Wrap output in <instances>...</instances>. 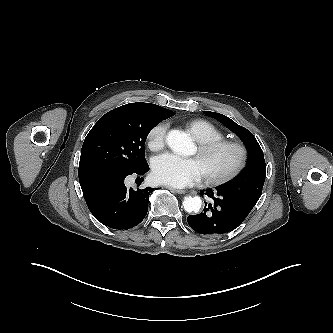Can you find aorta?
I'll use <instances>...</instances> for the list:
<instances>
[{
	"label": "aorta",
	"instance_id": "762f6f07",
	"mask_svg": "<svg viewBox=\"0 0 333 333\" xmlns=\"http://www.w3.org/2000/svg\"><path fill=\"white\" fill-rule=\"evenodd\" d=\"M168 146L177 154L188 155L193 148V143L190 137L183 131L171 130L166 136ZM202 200L199 196L185 197L183 206L188 213L198 212L201 208Z\"/></svg>",
	"mask_w": 333,
	"mask_h": 333
}]
</instances>
